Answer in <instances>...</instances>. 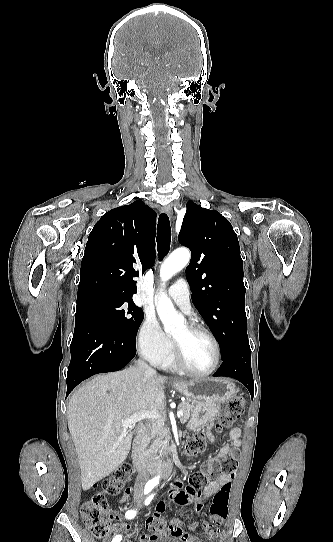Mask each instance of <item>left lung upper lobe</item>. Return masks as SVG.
Returning <instances> with one entry per match:
<instances>
[{
  "instance_id": "1",
  "label": "left lung upper lobe",
  "mask_w": 333,
  "mask_h": 542,
  "mask_svg": "<svg viewBox=\"0 0 333 542\" xmlns=\"http://www.w3.org/2000/svg\"><path fill=\"white\" fill-rule=\"evenodd\" d=\"M186 207L178 240L192 253L186 268L191 298L214 332L223 358L236 342L248 339L240 246L219 212L193 201Z\"/></svg>"
}]
</instances>
